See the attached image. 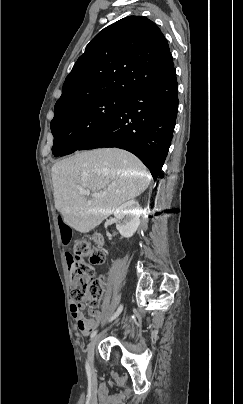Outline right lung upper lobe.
I'll return each mask as SVG.
<instances>
[{
    "label": "right lung upper lobe",
    "instance_id": "1",
    "mask_svg": "<svg viewBox=\"0 0 243 404\" xmlns=\"http://www.w3.org/2000/svg\"><path fill=\"white\" fill-rule=\"evenodd\" d=\"M173 68L158 26L143 16L123 18L99 32L78 58L55 104V117L96 99L126 98Z\"/></svg>",
    "mask_w": 243,
    "mask_h": 404
}]
</instances>
